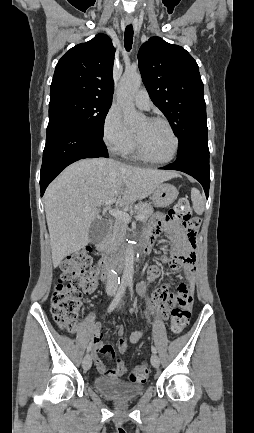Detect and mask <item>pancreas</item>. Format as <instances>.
Wrapping results in <instances>:
<instances>
[{"label":"pancreas","mask_w":254,"mask_h":433,"mask_svg":"<svg viewBox=\"0 0 254 433\" xmlns=\"http://www.w3.org/2000/svg\"><path fill=\"white\" fill-rule=\"evenodd\" d=\"M133 212L137 214H143L144 215L143 220H147L153 214L154 210L150 203L140 202ZM127 230H128V223L116 219L112 227V231L109 235L110 243L114 245H118L122 243Z\"/></svg>","instance_id":"1"}]
</instances>
